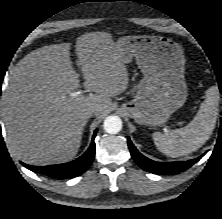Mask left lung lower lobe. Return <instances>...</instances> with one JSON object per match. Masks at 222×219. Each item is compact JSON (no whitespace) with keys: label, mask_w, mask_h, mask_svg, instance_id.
<instances>
[{"label":"left lung lower lobe","mask_w":222,"mask_h":219,"mask_svg":"<svg viewBox=\"0 0 222 219\" xmlns=\"http://www.w3.org/2000/svg\"><path fill=\"white\" fill-rule=\"evenodd\" d=\"M128 147L130 149V153L132 158L136 162L138 166H140L143 170L154 173V174H176L181 171H184L190 168L193 164L199 161L202 156L188 160V161H178V162H156L153 160L148 159L147 157L143 156L136 147L132 144L130 138H128Z\"/></svg>","instance_id":"obj_1"}]
</instances>
